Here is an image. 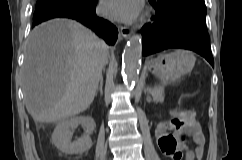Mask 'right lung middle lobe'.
<instances>
[{
    "label": "right lung middle lobe",
    "mask_w": 242,
    "mask_h": 160,
    "mask_svg": "<svg viewBox=\"0 0 242 160\" xmlns=\"http://www.w3.org/2000/svg\"><path fill=\"white\" fill-rule=\"evenodd\" d=\"M87 1H89V0H37L36 8L47 5L52 2H66V3L81 4V3H85Z\"/></svg>",
    "instance_id": "1"
}]
</instances>
